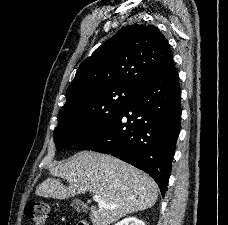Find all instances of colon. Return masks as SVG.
Wrapping results in <instances>:
<instances>
[{
	"mask_svg": "<svg viewBox=\"0 0 228 225\" xmlns=\"http://www.w3.org/2000/svg\"><path fill=\"white\" fill-rule=\"evenodd\" d=\"M26 216L32 221L33 225H50V211L45 202L31 200L26 206Z\"/></svg>",
	"mask_w": 228,
	"mask_h": 225,
	"instance_id": "1",
	"label": "colon"
}]
</instances>
